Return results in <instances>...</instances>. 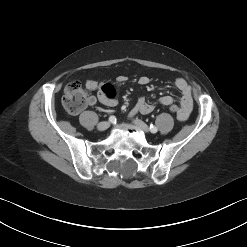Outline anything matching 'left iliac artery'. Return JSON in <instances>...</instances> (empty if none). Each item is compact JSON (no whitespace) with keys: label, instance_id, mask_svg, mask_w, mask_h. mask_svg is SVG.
<instances>
[{"label":"left iliac artery","instance_id":"44dca946","mask_svg":"<svg viewBox=\"0 0 247 247\" xmlns=\"http://www.w3.org/2000/svg\"><path fill=\"white\" fill-rule=\"evenodd\" d=\"M150 131H151L152 133H156V132H157V127L154 126L153 124H151V125H150Z\"/></svg>","mask_w":247,"mask_h":247}]
</instances>
